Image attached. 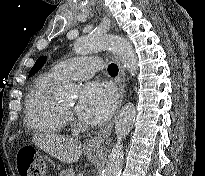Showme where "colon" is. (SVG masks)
<instances>
[{
    "instance_id": "obj_1",
    "label": "colon",
    "mask_w": 205,
    "mask_h": 176,
    "mask_svg": "<svg viewBox=\"0 0 205 176\" xmlns=\"http://www.w3.org/2000/svg\"><path fill=\"white\" fill-rule=\"evenodd\" d=\"M20 176H45L46 163L35 151L23 149L17 157Z\"/></svg>"
}]
</instances>
